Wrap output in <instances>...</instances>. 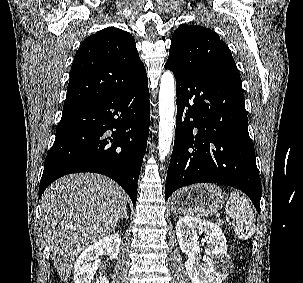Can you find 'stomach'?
<instances>
[{
  "instance_id": "1",
  "label": "stomach",
  "mask_w": 303,
  "mask_h": 283,
  "mask_svg": "<svg viewBox=\"0 0 303 283\" xmlns=\"http://www.w3.org/2000/svg\"><path fill=\"white\" fill-rule=\"evenodd\" d=\"M225 202L223 191L214 184H196L178 190L171 199L174 214L208 216L217 213Z\"/></svg>"
}]
</instances>
